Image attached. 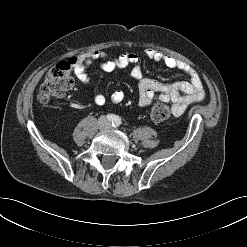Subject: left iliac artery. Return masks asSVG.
<instances>
[{"mask_svg": "<svg viewBox=\"0 0 247 247\" xmlns=\"http://www.w3.org/2000/svg\"><path fill=\"white\" fill-rule=\"evenodd\" d=\"M120 124H121V119L117 117V118L115 119L114 123H112V126H113V127H119Z\"/></svg>", "mask_w": 247, "mask_h": 247, "instance_id": "obj_1", "label": "left iliac artery"}]
</instances>
